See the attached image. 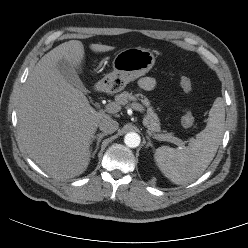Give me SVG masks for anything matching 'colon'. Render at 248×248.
<instances>
[{
  "label": "colon",
  "mask_w": 248,
  "mask_h": 248,
  "mask_svg": "<svg viewBox=\"0 0 248 248\" xmlns=\"http://www.w3.org/2000/svg\"><path fill=\"white\" fill-rule=\"evenodd\" d=\"M180 86L186 92H190L192 89L191 81L187 77H182L180 79ZM181 123L184 128H191L194 125L193 114L191 112H186L182 117Z\"/></svg>",
  "instance_id": "obj_1"
}]
</instances>
